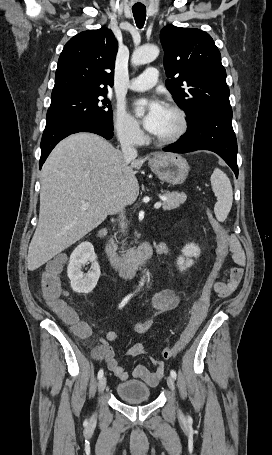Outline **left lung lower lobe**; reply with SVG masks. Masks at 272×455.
<instances>
[{"instance_id": "0a47b994", "label": "left lung lower lobe", "mask_w": 272, "mask_h": 455, "mask_svg": "<svg viewBox=\"0 0 272 455\" xmlns=\"http://www.w3.org/2000/svg\"><path fill=\"white\" fill-rule=\"evenodd\" d=\"M188 129L172 146L164 151L187 153L209 150L217 153L238 177L237 140L232 127V109L214 110L187 123Z\"/></svg>"}]
</instances>
